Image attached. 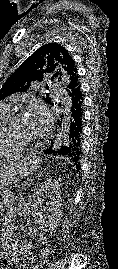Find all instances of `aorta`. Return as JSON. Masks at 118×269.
I'll return each mask as SVG.
<instances>
[{"instance_id": "1", "label": "aorta", "mask_w": 118, "mask_h": 269, "mask_svg": "<svg viewBox=\"0 0 118 269\" xmlns=\"http://www.w3.org/2000/svg\"><path fill=\"white\" fill-rule=\"evenodd\" d=\"M62 81L67 86V84H69V77L67 75L63 74ZM65 99L67 101L68 96ZM64 132H65V123H62V125L60 127L59 134H58V136L53 144L54 148H57L59 146L61 139L63 138Z\"/></svg>"}]
</instances>
